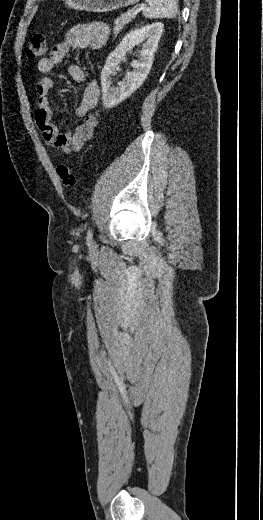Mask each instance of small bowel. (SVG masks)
<instances>
[{
	"label": "small bowel",
	"mask_w": 263,
	"mask_h": 520,
	"mask_svg": "<svg viewBox=\"0 0 263 520\" xmlns=\"http://www.w3.org/2000/svg\"><path fill=\"white\" fill-rule=\"evenodd\" d=\"M108 35L109 28L104 23L74 25L65 33L63 41L52 47L50 56L37 62V71L42 76L36 84L35 122L44 140L51 147L63 153L79 151L85 143L94 139L99 119L90 111L97 105L99 86L93 80L86 84L75 109V115L82 119V123L73 132H63L52 121L49 92L53 81L46 74L50 73L55 65L61 63L72 50L83 48L98 50L105 44ZM68 72L71 78L78 83H82L86 79L83 69L77 64L70 65Z\"/></svg>",
	"instance_id": "c3829d8e"
}]
</instances>
